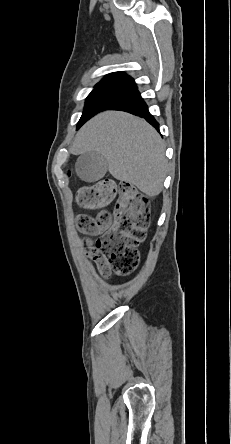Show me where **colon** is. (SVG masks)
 Returning a JSON list of instances; mask_svg holds the SVG:
<instances>
[{"instance_id":"obj_1","label":"colon","mask_w":231,"mask_h":444,"mask_svg":"<svg viewBox=\"0 0 231 444\" xmlns=\"http://www.w3.org/2000/svg\"><path fill=\"white\" fill-rule=\"evenodd\" d=\"M117 188L112 180H101L82 187L76 194L77 203L86 209H102L115 198ZM150 221L149 199L131 186H124L115 206L114 216L104 210L94 216H77L78 229L88 236H98L93 250L104 260L109 277L112 273L125 276L139 263L138 246L146 238Z\"/></svg>"}]
</instances>
